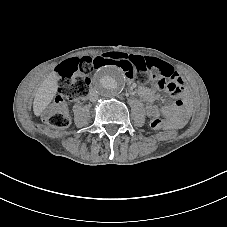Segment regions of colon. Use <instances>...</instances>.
<instances>
[{"mask_svg":"<svg viewBox=\"0 0 227 227\" xmlns=\"http://www.w3.org/2000/svg\"><path fill=\"white\" fill-rule=\"evenodd\" d=\"M104 65H114L128 78L151 82L154 88L172 94L179 93L183 87V81L174 68L154 57L110 52L97 57L73 58L64 61L57 70L59 93L54 102L43 111V121L55 129L67 128L71 122L67 100L84 103L91 71ZM151 127L167 129L170 123L166 119L155 118L151 121Z\"/></svg>","mask_w":227,"mask_h":227,"instance_id":"obj_1","label":"colon"}]
</instances>
